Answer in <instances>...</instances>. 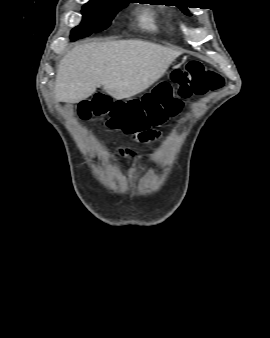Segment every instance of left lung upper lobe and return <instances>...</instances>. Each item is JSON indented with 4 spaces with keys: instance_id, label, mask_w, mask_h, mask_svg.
<instances>
[{
    "instance_id": "5c2ea615",
    "label": "left lung upper lobe",
    "mask_w": 270,
    "mask_h": 338,
    "mask_svg": "<svg viewBox=\"0 0 270 338\" xmlns=\"http://www.w3.org/2000/svg\"><path fill=\"white\" fill-rule=\"evenodd\" d=\"M177 7H179V6H177ZM179 8H181L182 11H183L185 14L191 15V14L188 13L189 11H188V9H186V7H179Z\"/></svg>"
}]
</instances>
